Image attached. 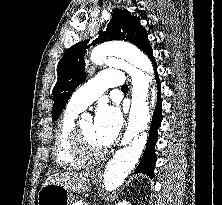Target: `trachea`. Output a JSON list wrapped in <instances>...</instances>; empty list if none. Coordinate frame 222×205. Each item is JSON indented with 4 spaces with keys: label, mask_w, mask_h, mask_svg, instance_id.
Here are the masks:
<instances>
[{
    "label": "trachea",
    "mask_w": 222,
    "mask_h": 205,
    "mask_svg": "<svg viewBox=\"0 0 222 205\" xmlns=\"http://www.w3.org/2000/svg\"><path fill=\"white\" fill-rule=\"evenodd\" d=\"M121 90H128L127 84H124V85L121 87Z\"/></svg>",
    "instance_id": "1"
}]
</instances>
